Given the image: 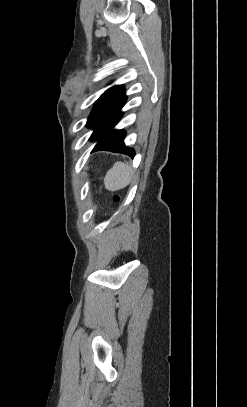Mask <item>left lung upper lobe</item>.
I'll return each mask as SVG.
<instances>
[{
    "label": "left lung upper lobe",
    "mask_w": 247,
    "mask_h": 407,
    "mask_svg": "<svg viewBox=\"0 0 247 407\" xmlns=\"http://www.w3.org/2000/svg\"><path fill=\"white\" fill-rule=\"evenodd\" d=\"M124 92L123 86H114L105 91L95 102L94 108L88 118L86 126L92 127L98 117Z\"/></svg>",
    "instance_id": "5c2ea615"
}]
</instances>
